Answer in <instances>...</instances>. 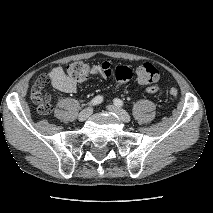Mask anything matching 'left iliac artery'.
Masks as SVG:
<instances>
[{
    "label": "left iliac artery",
    "instance_id": "1",
    "mask_svg": "<svg viewBox=\"0 0 213 213\" xmlns=\"http://www.w3.org/2000/svg\"><path fill=\"white\" fill-rule=\"evenodd\" d=\"M114 104H115L116 106H118V107L124 105L123 101L120 100V99H118V98H115V99H114Z\"/></svg>",
    "mask_w": 213,
    "mask_h": 213
}]
</instances>
